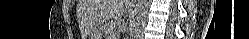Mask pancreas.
<instances>
[{
    "label": "pancreas",
    "instance_id": "1",
    "mask_svg": "<svg viewBox=\"0 0 249 39\" xmlns=\"http://www.w3.org/2000/svg\"><path fill=\"white\" fill-rule=\"evenodd\" d=\"M118 26H119V21L118 20H114L112 22H110L109 24H107L105 30H104V34L108 39H114V37L117 36L118 34Z\"/></svg>",
    "mask_w": 249,
    "mask_h": 39
}]
</instances>
